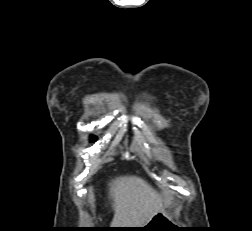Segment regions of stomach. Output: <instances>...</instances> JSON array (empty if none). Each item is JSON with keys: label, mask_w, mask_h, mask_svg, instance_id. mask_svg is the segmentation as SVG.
<instances>
[{"label": "stomach", "mask_w": 252, "mask_h": 231, "mask_svg": "<svg viewBox=\"0 0 252 231\" xmlns=\"http://www.w3.org/2000/svg\"><path fill=\"white\" fill-rule=\"evenodd\" d=\"M172 222L169 216L164 212L160 211L155 214L149 222H147L144 226L139 227L142 229H138L141 231H168L172 230Z\"/></svg>", "instance_id": "stomach-1"}]
</instances>
